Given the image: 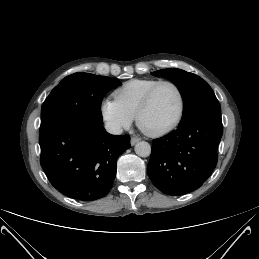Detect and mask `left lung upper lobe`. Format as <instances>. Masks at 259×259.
<instances>
[{
    "label": "left lung upper lobe",
    "mask_w": 259,
    "mask_h": 259,
    "mask_svg": "<svg viewBox=\"0 0 259 259\" xmlns=\"http://www.w3.org/2000/svg\"><path fill=\"white\" fill-rule=\"evenodd\" d=\"M152 74L169 79L181 93L184 112L180 126L197 118L213 117L221 119V107L213 90L199 76L177 68L162 69Z\"/></svg>",
    "instance_id": "obj_1"
}]
</instances>
